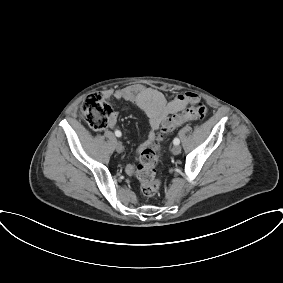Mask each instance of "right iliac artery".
I'll return each mask as SVG.
<instances>
[{"label": "right iliac artery", "instance_id": "right-iliac-artery-1", "mask_svg": "<svg viewBox=\"0 0 283 283\" xmlns=\"http://www.w3.org/2000/svg\"><path fill=\"white\" fill-rule=\"evenodd\" d=\"M115 135L117 136V137H121V132L119 131V130H117V131H115Z\"/></svg>", "mask_w": 283, "mask_h": 283}]
</instances>
